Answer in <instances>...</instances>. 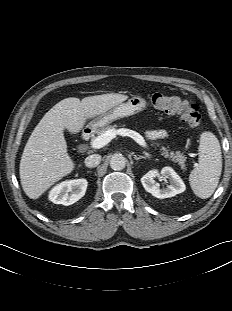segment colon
Returning <instances> with one entry per match:
<instances>
[{"mask_svg": "<svg viewBox=\"0 0 232 311\" xmlns=\"http://www.w3.org/2000/svg\"><path fill=\"white\" fill-rule=\"evenodd\" d=\"M151 104L158 110L168 114H177L191 127L200 123L201 115L196 104L175 96L155 93L151 96Z\"/></svg>", "mask_w": 232, "mask_h": 311, "instance_id": "1", "label": "colon"}]
</instances>
